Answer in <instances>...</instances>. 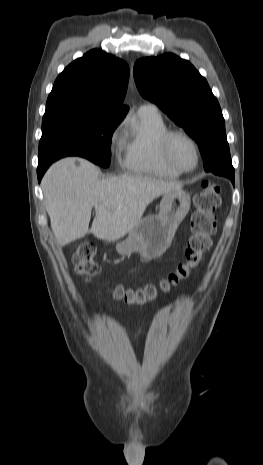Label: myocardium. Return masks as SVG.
Segmentation results:
<instances>
[{
  "label": "myocardium",
  "instance_id": "1",
  "mask_svg": "<svg viewBox=\"0 0 263 465\" xmlns=\"http://www.w3.org/2000/svg\"><path fill=\"white\" fill-rule=\"evenodd\" d=\"M177 137H181L189 141L195 151V164L193 167L189 169H185L181 166H179L173 159L172 154H171V149H172V143L173 140ZM160 149H161V155L164 160V162L174 171L178 173H190L193 172L199 165L200 162V148L197 143V141L187 132L183 130H168L163 137L161 138L160 142Z\"/></svg>",
  "mask_w": 263,
  "mask_h": 465
}]
</instances>
